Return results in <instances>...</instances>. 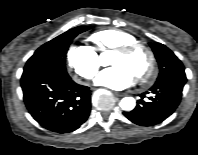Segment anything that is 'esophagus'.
Here are the masks:
<instances>
[{
  "mask_svg": "<svg viewBox=\"0 0 198 155\" xmlns=\"http://www.w3.org/2000/svg\"><path fill=\"white\" fill-rule=\"evenodd\" d=\"M115 95L118 96V97H123L126 94L125 93H120V92H115Z\"/></svg>",
  "mask_w": 198,
  "mask_h": 155,
  "instance_id": "1",
  "label": "esophagus"
}]
</instances>
